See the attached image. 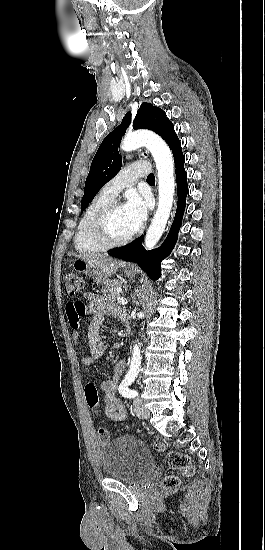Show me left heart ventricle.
Segmentation results:
<instances>
[{
	"label": "left heart ventricle",
	"instance_id": "1",
	"mask_svg": "<svg viewBox=\"0 0 265 550\" xmlns=\"http://www.w3.org/2000/svg\"><path fill=\"white\" fill-rule=\"evenodd\" d=\"M133 231L124 207L120 206L114 210L108 221V233L113 239H121Z\"/></svg>",
	"mask_w": 265,
	"mask_h": 550
}]
</instances>
